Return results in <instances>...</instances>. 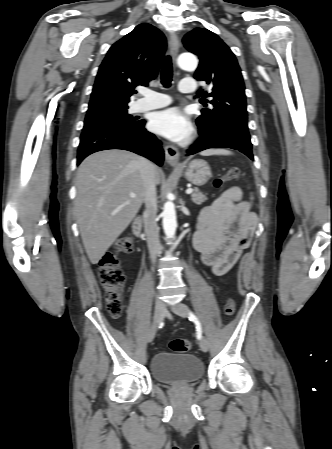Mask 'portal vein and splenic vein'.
Returning a JSON list of instances; mask_svg holds the SVG:
<instances>
[{
    "mask_svg": "<svg viewBox=\"0 0 332 449\" xmlns=\"http://www.w3.org/2000/svg\"><path fill=\"white\" fill-rule=\"evenodd\" d=\"M192 192H193V189H191V188L186 190V194H191ZM130 197L134 198V197H136V195L134 193H131Z\"/></svg>",
    "mask_w": 332,
    "mask_h": 449,
    "instance_id": "1",
    "label": "portal vein and splenic vein"
}]
</instances>
